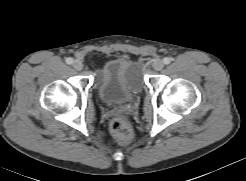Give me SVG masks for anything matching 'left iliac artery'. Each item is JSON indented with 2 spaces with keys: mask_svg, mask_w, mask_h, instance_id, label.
<instances>
[{
  "mask_svg": "<svg viewBox=\"0 0 246 181\" xmlns=\"http://www.w3.org/2000/svg\"><path fill=\"white\" fill-rule=\"evenodd\" d=\"M171 61H172V58H169V57H165L163 59L164 64H169Z\"/></svg>",
  "mask_w": 246,
  "mask_h": 181,
  "instance_id": "1",
  "label": "left iliac artery"
}]
</instances>
